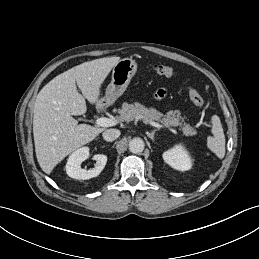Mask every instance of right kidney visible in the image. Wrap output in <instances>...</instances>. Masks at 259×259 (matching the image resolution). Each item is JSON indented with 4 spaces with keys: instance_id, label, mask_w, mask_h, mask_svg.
Instances as JSON below:
<instances>
[{
    "instance_id": "ca27d5eb",
    "label": "right kidney",
    "mask_w": 259,
    "mask_h": 259,
    "mask_svg": "<svg viewBox=\"0 0 259 259\" xmlns=\"http://www.w3.org/2000/svg\"><path fill=\"white\" fill-rule=\"evenodd\" d=\"M89 157V148L82 147L74 151L68 158L66 164V173L69 177L79 180H87L98 176L107 163V156L96 154L93 159L96 160L95 167L89 170L81 168V164Z\"/></svg>"
}]
</instances>
